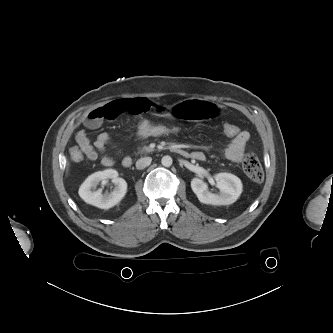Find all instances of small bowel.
<instances>
[{
	"mask_svg": "<svg viewBox=\"0 0 333 333\" xmlns=\"http://www.w3.org/2000/svg\"><path fill=\"white\" fill-rule=\"evenodd\" d=\"M153 108H157L162 112V109L149 99L133 98L114 100L101 107L93 109L83 121L84 128L80 129L76 134L78 149L88 160H97L100 153H102L105 150V147L111 142V138L107 133H101L92 144L87 130L97 129L103 121L113 120L122 114L128 113L140 116L142 113L148 112ZM139 121L142 122L147 120L140 119ZM248 141V132H240L232 139L230 144L223 149L224 157L230 161L240 163L243 160L245 147ZM192 157L198 160H204L205 158L204 154L199 151L193 152ZM100 162L105 167H110L114 163L113 159L107 155L101 156Z\"/></svg>",
	"mask_w": 333,
	"mask_h": 333,
	"instance_id": "obj_1",
	"label": "small bowel"
}]
</instances>
